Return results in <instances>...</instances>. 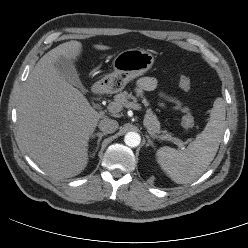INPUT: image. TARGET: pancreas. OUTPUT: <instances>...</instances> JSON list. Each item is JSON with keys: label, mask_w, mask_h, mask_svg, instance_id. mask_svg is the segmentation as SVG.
<instances>
[{"label": "pancreas", "mask_w": 248, "mask_h": 248, "mask_svg": "<svg viewBox=\"0 0 248 248\" xmlns=\"http://www.w3.org/2000/svg\"><path fill=\"white\" fill-rule=\"evenodd\" d=\"M129 99L133 101L137 100L135 96H133L131 93H128L127 91L120 92L119 94H116L114 96V103H116L120 107H123L129 103ZM143 104L145 106L149 105L146 99L143 100ZM144 125L146 126L149 134L153 138L175 142V138H173L170 133H167L166 131H161L160 122L158 121L157 116L153 113L150 108H148L146 111L144 117Z\"/></svg>", "instance_id": "cf45deb5"}]
</instances>
